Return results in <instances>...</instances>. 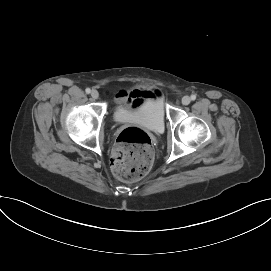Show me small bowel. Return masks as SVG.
Here are the masks:
<instances>
[{"label": "small bowel", "mask_w": 271, "mask_h": 271, "mask_svg": "<svg viewBox=\"0 0 271 271\" xmlns=\"http://www.w3.org/2000/svg\"><path fill=\"white\" fill-rule=\"evenodd\" d=\"M160 96V91L157 89H135L130 93L121 91L117 94V102L120 104H128L129 106H137L142 101Z\"/></svg>", "instance_id": "small-bowel-1"}]
</instances>
